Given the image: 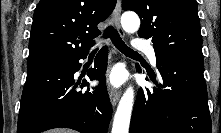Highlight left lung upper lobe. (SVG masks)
<instances>
[{
  "label": "left lung upper lobe",
  "instance_id": "5c2ea615",
  "mask_svg": "<svg viewBox=\"0 0 221 133\" xmlns=\"http://www.w3.org/2000/svg\"><path fill=\"white\" fill-rule=\"evenodd\" d=\"M141 19L139 36L152 38L155 52L203 61L196 0H122Z\"/></svg>",
  "mask_w": 221,
  "mask_h": 133
}]
</instances>
